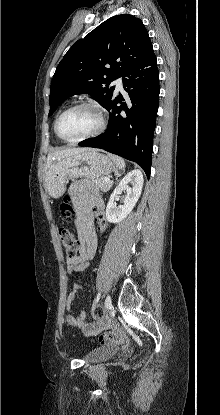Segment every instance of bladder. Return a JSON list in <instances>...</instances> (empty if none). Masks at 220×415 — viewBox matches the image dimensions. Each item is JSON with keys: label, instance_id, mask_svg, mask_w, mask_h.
<instances>
[{"label": "bladder", "instance_id": "31cf9c89", "mask_svg": "<svg viewBox=\"0 0 220 415\" xmlns=\"http://www.w3.org/2000/svg\"><path fill=\"white\" fill-rule=\"evenodd\" d=\"M120 350L118 345L112 344L105 347H99L91 350L87 356L86 361L97 362L116 355Z\"/></svg>", "mask_w": 220, "mask_h": 415}]
</instances>
